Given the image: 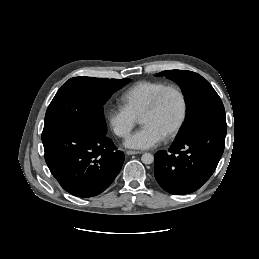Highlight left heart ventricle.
<instances>
[{"label": "left heart ventricle", "mask_w": 259, "mask_h": 259, "mask_svg": "<svg viewBox=\"0 0 259 259\" xmlns=\"http://www.w3.org/2000/svg\"><path fill=\"white\" fill-rule=\"evenodd\" d=\"M181 100L175 91L168 92L159 109L141 119L143 125H150L163 136L170 132L177 124L181 115Z\"/></svg>", "instance_id": "1"}]
</instances>
